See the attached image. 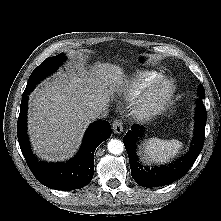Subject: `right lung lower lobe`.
<instances>
[{"mask_svg":"<svg viewBox=\"0 0 221 221\" xmlns=\"http://www.w3.org/2000/svg\"><path fill=\"white\" fill-rule=\"evenodd\" d=\"M28 93L24 92L17 122V135L22 154L34 176L48 188L57 190L80 189L87 185L94 174V151L111 136L108 121H96L85 134L77 156L69 162L52 164L39 161L31 152L26 134V109Z\"/></svg>","mask_w":221,"mask_h":221,"instance_id":"right-lung-lower-lobe-1","label":"right lung lower lobe"}]
</instances>
